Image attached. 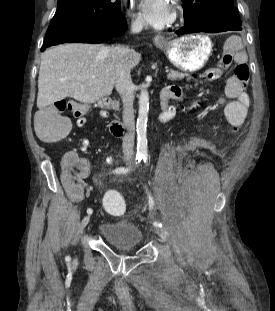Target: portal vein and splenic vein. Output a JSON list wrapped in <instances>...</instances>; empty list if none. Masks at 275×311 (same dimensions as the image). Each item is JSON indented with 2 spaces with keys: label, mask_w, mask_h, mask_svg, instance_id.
<instances>
[{
  "label": "portal vein and splenic vein",
  "mask_w": 275,
  "mask_h": 311,
  "mask_svg": "<svg viewBox=\"0 0 275 311\" xmlns=\"http://www.w3.org/2000/svg\"><path fill=\"white\" fill-rule=\"evenodd\" d=\"M165 72H166V73H169V69H166Z\"/></svg>",
  "instance_id": "1"
}]
</instances>
